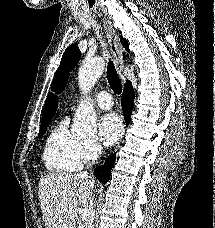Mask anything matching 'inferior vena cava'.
Segmentation results:
<instances>
[{"label":"inferior vena cava","instance_id":"inferior-vena-cava-1","mask_svg":"<svg viewBox=\"0 0 215 228\" xmlns=\"http://www.w3.org/2000/svg\"><path fill=\"white\" fill-rule=\"evenodd\" d=\"M85 176H87V172H84ZM94 208H95V204H93V198L90 202V206H89V212L91 214L89 220H88V226L87 228H94L92 222H93V214H94Z\"/></svg>","mask_w":215,"mask_h":228}]
</instances>
